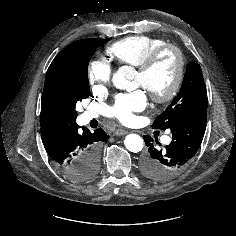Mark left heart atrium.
Returning a JSON list of instances; mask_svg holds the SVG:
<instances>
[{
    "mask_svg": "<svg viewBox=\"0 0 236 236\" xmlns=\"http://www.w3.org/2000/svg\"><path fill=\"white\" fill-rule=\"evenodd\" d=\"M146 106L147 96L143 90L120 94L110 108V115L120 122L129 123L133 120L134 113L144 110Z\"/></svg>",
    "mask_w": 236,
    "mask_h": 236,
    "instance_id": "obj_1",
    "label": "left heart atrium"
}]
</instances>
